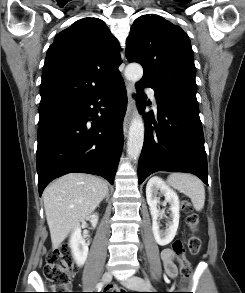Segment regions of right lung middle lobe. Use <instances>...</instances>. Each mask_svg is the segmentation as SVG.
<instances>
[{
    "label": "right lung middle lobe",
    "mask_w": 245,
    "mask_h": 293,
    "mask_svg": "<svg viewBox=\"0 0 245 293\" xmlns=\"http://www.w3.org/2000/svg\"><path fill=\"white\" fill-rule=\"evenodd\" d=\"M67 106H52V107H46V108H39V123L44 122L47 119L51 118L52 116L60 113L62 110H64Z\"/></svg>",
    "instance_id": "1"
}]
</instances>
